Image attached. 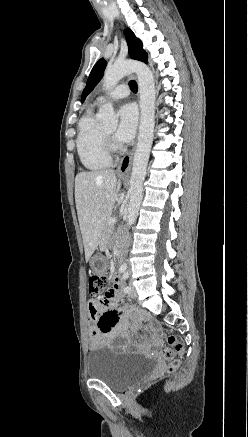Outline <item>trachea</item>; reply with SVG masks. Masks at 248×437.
Masks as SVG:
<instances>
[{
  "label": "trachea",
  "instance_id": "3493384b",
  "mask_svg": "<svg viewBox=\"0 0 248 437\" xmlns=\"http://www.w3.org/2000/svg\"><path fill=\"white\" fill-rule=\"evenodd\" d=\"M129 85L133 92H137V83L134 80L130 81Z\"/></svg>",
  "mask_w": 248,
  "mask_h": 437
}]
</instances>
